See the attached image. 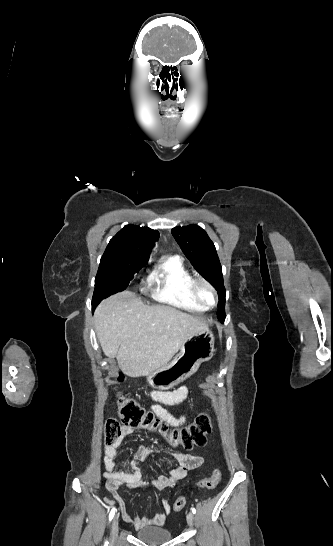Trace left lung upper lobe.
Wrapping results in <instances>:
<instances>
[{
  "mask_svg": "<svg viewBox=\"0 0 333 546\" xmlns=\"http://www.w3.org/2000/svg\"><path fill=\"white\" fill-rule=\"evenodd\" d=\"M172 235L196 271L218 291V319L225 320V287L222 267L213 242L205 230L197 225L175 227Z\"/></svg>",
  "mask_w": 333,
  "mask_h": 546,
  "instance_id": "1",
  "label": "left lung upper lobe"
}]
</instances>
